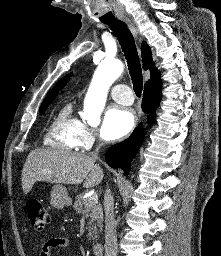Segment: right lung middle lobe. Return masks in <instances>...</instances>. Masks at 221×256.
Listing matches in <instances>:
<instances>
[{
    "instance_id": "obj_1",
    "label": "right lung middle lobe",
    "mask_w": 221,
    "mask_h": 256,
    "mask_svg": "<svg viewBox=\"0 0 221 256\" xmlns=\"http://www.w3.org/2000/svg\"><path fill=\"white\" fill-rule=\"evenodd\" d=\"M55 96L56 95H53L43 101V104L41 105V107L39 109L40 113L44 112L47 109L48 105L54 100Z\"/></svg>"
}]
</instances>
